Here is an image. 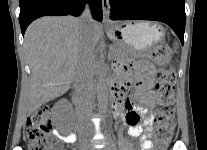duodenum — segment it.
Listing matches in <instances>:
<instances>
[{
	"instance_id": "duodenum-1",
	"label": "duodenum",
	"mask_w": 207,
	"mask_h": 150,
	"mask_svg": "<svg viewBox=\"0 0 207 150\" xmlns=\"http://www.w3.org/2000/svg\"><path fill=\"white\" fill-rule=\"evenodd\" d=\"M110 92L113 98V101L115 100V92H116V83H110Z\"/></svg>"
}]
</instances>
